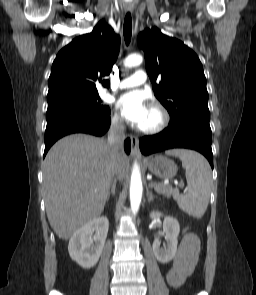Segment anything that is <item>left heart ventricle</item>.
<instances>
[{"label":"left heart ventricle","mask_w":256,"mask_h":295,"mask_svg":"<svg viewBox=\"0 0 256 295\" xmlns=\"http://www.w3.org/2000/svg\"><path fill=\"white\" fill-rule=\"evenodd\" d=\"M157 121L156 113L150 109L148 116L146 117L145 121L142 124V127H148L155 124Z\"/></svg>","instance_id":"left-heart-ventricle-1"}]
</instances>
